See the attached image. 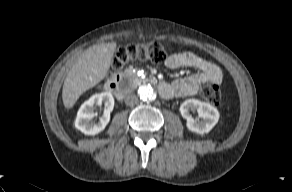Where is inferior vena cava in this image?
Returning a JSON list of instances; mask_svg holds the SVG:
<instances>
[{"label":"inferior vena cava","instance_id":"obj_1","mask_svg":"<svg viewBox=\"0 0 292 192\" xmlns=\"http://www.w3.org/2000/svg\"><path fill=\"white\" fill-rule=\"evenodd\" d=\"M137 102H138V97L135 94L130 93L125 97V103L128 106H133L137 104Z\"/></svg>","mask_w":292,"mask_h":192}]
</instances>
